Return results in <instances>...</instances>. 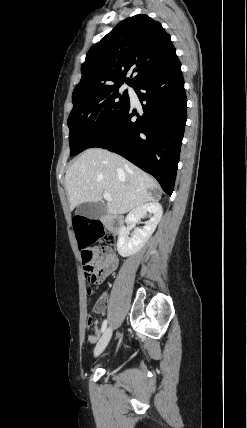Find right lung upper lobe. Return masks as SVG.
Returning <instances> with one entry per match:
<instances>
[{
    "label": "right lung upper lobe",
    "instance_id": "cb5924a9",
    "mask_svg": "<svg viewBox=\"0 0 247 428\" xmlns=\"http://www.w3.org/2000/svg\"><path fill=\"white\" fill-rule=\"evenodd\" d=\"M175 57L170 35L159 22L148 15L129 17L89 49L72 99L123 82L135 87Z\"/></svg>",
    "mask_w": 247,
    "mask_h": 428
}]
</instances>
